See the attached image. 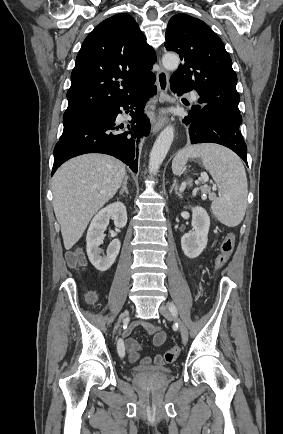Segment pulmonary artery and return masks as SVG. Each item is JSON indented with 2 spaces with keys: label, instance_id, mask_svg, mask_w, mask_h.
<instances>
[{
  "label": "pulmonary artery",
  "instance_id": "obj_1",
  "mask_svg": "<svg viewBox=\"0 0 283 434\" xmlns=\"http://www.w3.org/2000/svg\"><path fill=\"white\" fill-rule=\"evenodd\" d=\"M190 97H191L192 99H196V98H197V94H196V92L192 91V92L190 93Z\"/></svg>",
  "mask_w": 283,
  "mask_h": 434
}]
</instances>
